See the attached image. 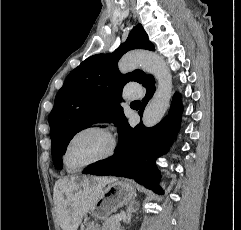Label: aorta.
Returning <instances> with one entry per match:
<instances>
[{"label":"aorta","mask_w":241,"mask_h":230,"mask_svg":"<svg viewBox=\"0 0 241 230\" xmlns=\"http://www.w3.org/2000/svg\"><path fill=\"white\" fill-rule=\"evenodd\" d=\"M138 66L155 76L158 81L157 90L146 106L142 121L144 126H155L164 116L170 105L172 95V75L164 59L150 52H130L124 55L118 63L122 74L136 69Z\"/></svg>","instance_id":"aorta-1"}]
</instances>
